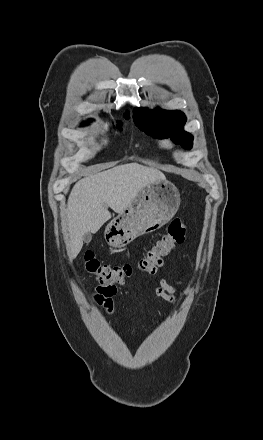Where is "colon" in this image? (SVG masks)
<instances>
[{
	"label": "colon",
	"mask_w": 263,
	"mask_h": 440,
	"mask_svg": "<svg viewBox=\"0 0 263 440\" xmlns=\"http://www.w3.org/2000/svg\"><path fill=\"white\" fill-rule=\"evenodd\" d=\"M186 231L185 221L176 218L169 223L166 232L135 263L105 264L100 262L92 251H87L84 255V268L102 287L115 288L117 285H123L135 271L154 273L162 265L163 257L184 241Z\"/></svg>",
	"instance_id": "1"
}]
</instances>
